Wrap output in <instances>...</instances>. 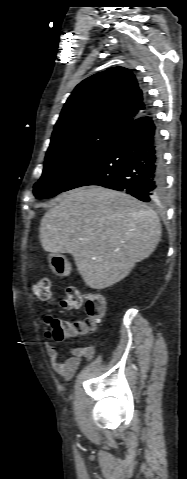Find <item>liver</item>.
<instances>
[{"mask_svg":"<svg viewBox=\"0 0 187 479\" xmlns=\"http://www.w3.org/2000/svg\"><path fill=\"white\" fill-rule=\"evenodd\" d=\"M39 237L45 251L71 254L85 284L100 290L124 279L155 251L161 224L134 197L88 186L55 198L41 220Z\"/></svg>","mask_w":187,"mask_h":479,"instance_id":"liver-1","label":"liver"}]
</instances>
